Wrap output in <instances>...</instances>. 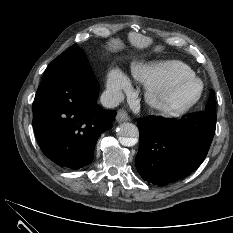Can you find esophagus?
Returning a JSON list of instances; mask_svg holds the SVG:
<instances>
[{
  "label": "esophagus",
  "mask_w": 233,
  "mask_h": 233,
  "mask_svg": "<svg viewBox=\"0 0 233 233\" xmlns=\"http://www.w3.org/2000/svg\"><path fill=\"white\" fill-rule=\"evenodd\" d=\"M116 120L119 123L126 122V121H130V117L124 109H120L117 112Z\"/></svg>",
  "instance_id": "obj_1"
}]
</instances>
